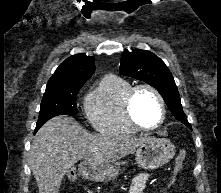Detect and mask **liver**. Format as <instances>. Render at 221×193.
I'll return each instance as SVG.
<instances>
[{
	"label": "liver",
	"mask_w": 221,
	"mask_h": 193,
	"mask_svg": "<svg viewBox=\"0 0 221 193\" xmlns=\"http://www.w3.org/2000/svg\"><path fill=\"white\" fill-rule=\"evenodd\" d=\"M149 139L90 134L72 117H54L38 130L30 151V168L39 193H59L64 175L79 160L85 159L93 166L109 165Z\"/></svg>",
	"instance_id": "liver-1"
}]
</instances>
